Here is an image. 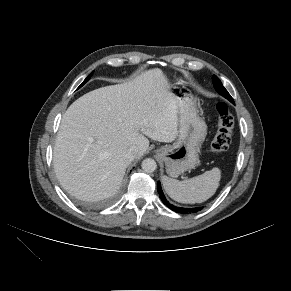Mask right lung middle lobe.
I'll return each instance as SVG.
<instances>
[{
	"label": "right lung middle lobe",
	"instance_id": "right-lung-middle-lobe-1",
	"mask_svg": "<svg viewBox=\"0 0 291 291\" xmlns=\"http://www.w3.org/2000/svg\"><path fill=\"white\" fill-rule=\"evenodd\" d=\"M93 72L83 81V83L78 87V89L83 86L89 79L90 77L92 76Z\"/></svg>",
	"mask_w": 291,
	"mask_h": 291
}]
</instances>
